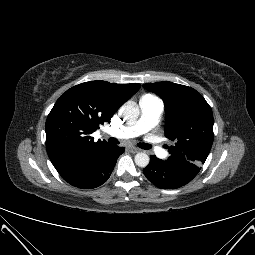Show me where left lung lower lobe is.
<instances>
[{"label":"left lung lower lobe","mask_w":255,"mask_h":255,"mask_svg":"<svg viewBox=\"0 0 255 255\" xmlns=\"http://www.w3.org/2000/svg\"><path fill=\"white\" fill-rule=\"evenodd\" d=\"M146 178L161 189H174L191 181L196 173L165 163L156 156L150 157L149 165L143 170Z\"/></svg>","instance_id":"left-lung-lower-lobe-1"}]
</instances>
